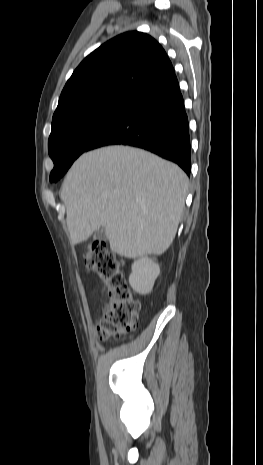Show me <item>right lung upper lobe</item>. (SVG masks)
I'll list each match as a JSON object with an SVG mask.
<instances>
[{"instance_id":"right-lung-upper-lobe-1","label":"right lung upper lobe","mask_w":263,"mask_h":465,"mask_svg":"<svg viewBox=\"0 0 263 465\" xmlns=\"http://www.w3.org/2000/svg\"><path fill=\"white\" fill-rule=\"evenodd\" d=\"M173 74L171 61L154 38L137 31L123 33L80 63L67 81L53 117L97 98L136 97Z\"/></svg>"}]
</instances>
